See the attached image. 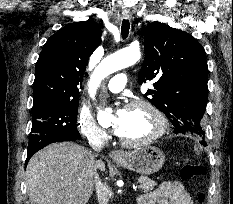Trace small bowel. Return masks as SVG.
<instances>
[{"label":"small bowel","mask_w":233,"mask_h":204,"mask_svg":"<svg viewBox=\"0 0 233 204\" xmlns=\"http://www.w3.org/2000/svg\"><path fill=\"white\" fill-rule=\"evenodd\" d=\"M139 204H194L183 184L176 180L161 183L157 189L143 194Z\"/></svg>","instance_id":"c3829d8e"}]
</instances>
